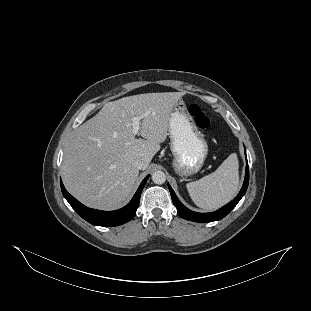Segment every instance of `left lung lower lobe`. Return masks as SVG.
Returning a JSON list of instances; mask_svg holds the SVG:
<instances>
[{
  "label": "left lung lower lobe",
  "instance_id": "0a47b994",
  "mask_svg": "<svg viewBox=\"0 0 311 311\" xmlns=\"http://www.w3.org/2000/svg\"><path fill=\"white\" fill-rule=\"evenodd\" d=\"M246 160H247V157H246ZM248 183H249V168H248V163H247L244 183L239 194L230 203H228L221 209L215 212H211V213H197V212H193L189 210L179 201V199L177 198V196L175 195L174 191L172 190L169 184H168V187L171 193L173 203L176 206L177 211L180 214V216L186 220L203 223V222H212V221L220 220L226 215H228L230 211L237 205V203L244 196L247 190V187H248Z\"/></svg>",
  "mask_w": 311,
  "mask_h": 311
}]
</instances>
